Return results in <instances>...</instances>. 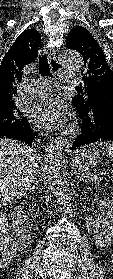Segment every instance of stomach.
I'll list each match as a JSON object with an SVG mask.
<instances>
[{
	"label": "stomach",
	"mask_w": 113,
	"mask_h": 279,
	"mask_svg": "<svg viewBox=\"0 0 113 279\" xmlns=\"http://www.w3.org/2000/svg\"><path fill=\"white\" fill-rule=\"evenodd\" d=\"M99 162V152L95 146H83L72 156V163L77 168H92Z\"/></svg>",
	"instance_id": "0dacf381"
}]
</instances>
